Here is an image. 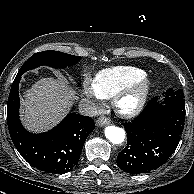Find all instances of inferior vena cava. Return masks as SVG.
I'll return each mask as SVG.
<instances>
[{
	"label": "inferior vena cava",
	"mask_w": 194,
	"mask_h": 194,
	"mask_svg": "<svg viewBox=\"0 0 194 194\" xmlns=\"http://www.w3.org/2000/svg\"><path fill=\"white\" fill-rule=\"evenodd\" d=\"M79 112L85 116L94 117L97 115V107L95 103L89 99H83L79 103Z\"/></svg>",
	"instance_id": "602c4592"
}]
</instances>
